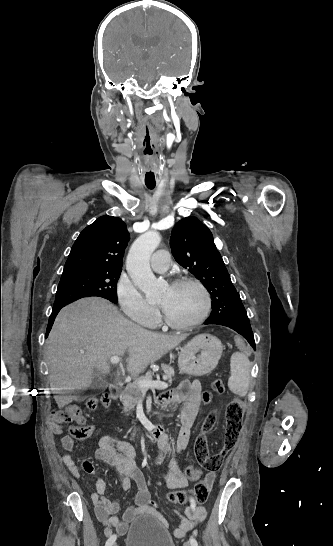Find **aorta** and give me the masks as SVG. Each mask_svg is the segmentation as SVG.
Returning <instances> with one entry per match:
<instances>
[{
	"mask_svg": "<svg viewBox=\"0 0 333 546\" xmlns=\"http://www.w3.org/2000/svg\"><path fill=\"white\" fill-rule=\"evenodd\" d=\"M161 241L156 231L140 235L130 247L126 259V270L138 289L145 293L147 300L157 297V279L150 268V256Z\"/></svg>",
	"mask_w": 333,
	"mask_h": 546,
	"instance_id": "obj_1",
	"label": "aorta"
}]
</instances>
